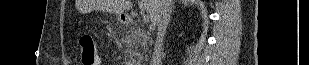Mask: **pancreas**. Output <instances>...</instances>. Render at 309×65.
<instances>
[{"mask_svg": "<svg viewBox=\"0 0 309 65\" xmlns=\"http://www.w3.org/2000/svg\"><path fill=\"white\" fill-rule=\"evenodd\" d=\"M129 37L130 50L128 56L137 61H141L144 57V53L148 50V44L151 40L150 35L146 32L143 25L134 23Z\"/></svg>", "mask_w": 309, "mask_h": 65, "instance_id": "cf45deb5", "label": "pancreas"}]
</instances>
